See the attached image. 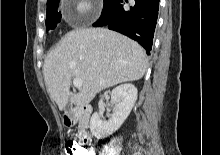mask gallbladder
I'll list each match as a JSON object with an SVG mask.
<instances>
[{
	"label": "gallbladder",
	"instance_id": "bac80fb5",
	"mask_svg": "<svg viewBox=\"0 0 220 155\" xmlns=\"http://www.w3.org/2000/svg\"><path fill=\"white\" fill-rule=\"evenodd\" d=\"M64 110H65V113L70 114L71 106L70 105L66 106Z\"/></svg>",
	"mask_w": 220,
	"mask_h": 155
}]
</instances>
